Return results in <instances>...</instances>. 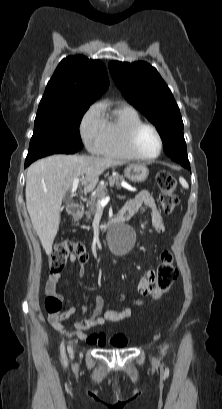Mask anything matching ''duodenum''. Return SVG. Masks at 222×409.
<instances>
[{"label":"duodenum","instance_id":"obj_1","mask_svg":"<svg viewBox=\"0 0 222 409\" xmlns=\"http://www.w3.org/2000/svg\"><path fill=\"white\" fill-rule=\"evenodd\" d=\"M83 212V207L81 205H74L70 208V214L75 218H78ZM131 216V213L125 212L122 209L119 210L115 216L113 217V221L115 222H124L128 220Z\"/></svg>","mask_w":222,"mask_h":409}]
</instances>
